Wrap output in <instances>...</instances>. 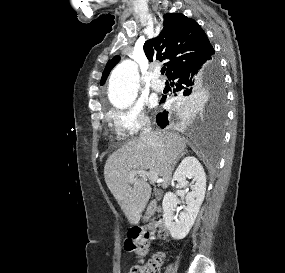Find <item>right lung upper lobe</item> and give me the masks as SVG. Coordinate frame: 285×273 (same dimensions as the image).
I'll use <instances>...</instances> for the list:
<instances>
[{"instance_id":"right-lung-upper-lobe-1","label":"right lung upper lobe","mask_w":285,"mask_h":273,"mask_svg":"<svg viewBox=\"0 0 285 273\" xmlns=\"http://www.w3.org/2000/svg\"><path fill=\"white\" fill-rule=\"evenodd\" d=\"M144 52L149 61L153 59L168 60L166 75L207 56L214 57V49L200 25L180 13L164 15L163 29L153 39L144 44ZM116 56L108 62L102 75L104 84L111 69L118 63Z\"/></svg>"}]
</instances>
